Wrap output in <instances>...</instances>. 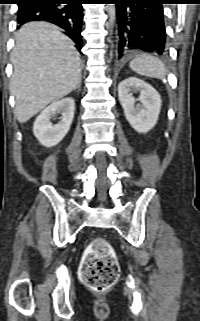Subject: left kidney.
<instances>
[{
    "label": "left kidney",
    "instance_id": "1",
    "mask_svg": "<svg viewBox=\"0 0 200 321\" xmlns=\"http://www.w3.org/2000/svg\"><path fill=\"white\" fill-rule=\"evenodd\" d=\"M140 92L136 104L133 92ZM120 104L124 109L127 121L139 133H147L157 123L161 110L159 93L145 81L136 77H129L118 85Z\"/></svg>",
    "mask_w": 200,
    "mask_h": 321
}]
</instances>
